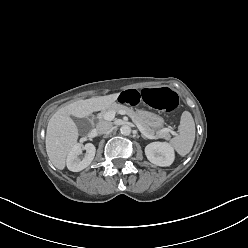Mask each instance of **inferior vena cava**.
<instances>
[{"mask_svg": "<svg viewBox=\"0 0 248 248\" xmlns=\"http://www.w3.org/2000/svg\"><path fill=\"white\" fill-rule=\"evenodd\" d=\"M111 127H112V124L110 122L101 121L97 124L96 131L99 134H105L111 129Z\"/></svg>", "mask_w": 248, "mask_h": 248, "instance_id": "inferior-vena-cava-1", "label": "inferior vena cava"}]
</instances>
